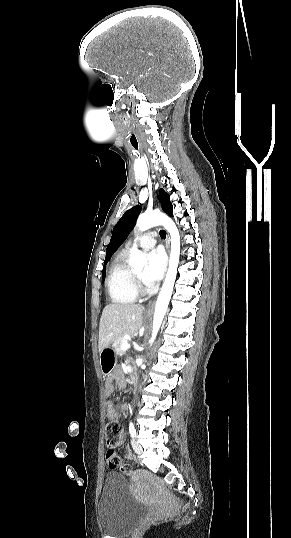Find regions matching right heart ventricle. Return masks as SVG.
<instances>
[{"label": "right heart ventricle", "instance_id": "right-heart-ventricle-1", "mask_svg": "<svg viewBox=\"0 0 291 538\" xmlns=\"http://www.w3.org/2000/svg\"><path fill=\"white\" fill-rule=\"evenodd\" d=\"M129 253L128 249L118 252L110 265L107 291L114 304H130L138 297L132 285V271L127 264Z\"/></svg>", "mask_w": 291, "mask_h": 538}]
</instances>
